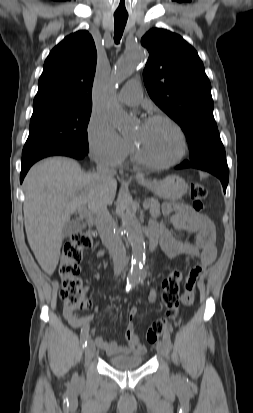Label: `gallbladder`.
Segmentation results:
<instances>
[{
  "mask_svg": "<svg viewBox=\"0 0 253 413\" xmlns=\"http://www.w3.org/2000/svg\"><path fill=\"white\" fill-rule=\"evenodd\" d=\"M80 229L79 223L75 220L68 221L62 230V237L66 238L78 232Z\"/></svg>",
  "mask_w": 253,
  "mask_h": 413,
  "instance_id": "gallbladder-1",
  "label": "gallbladder"
}]
</instances>
